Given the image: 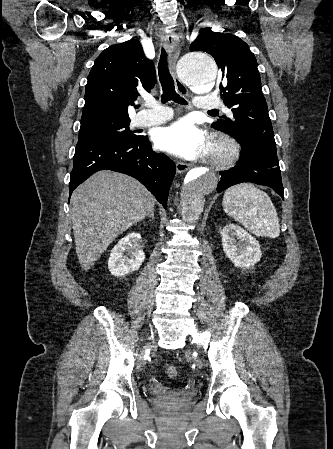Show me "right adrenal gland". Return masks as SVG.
Masks as SVG:
<instances>
[{
	"instance_id": "right-adrenal-gland-1",
	"label": "right adrenal gland",
	"mask_w": 333,
	"mask_h": 449,
	"mask_svg": "<svg viewBox=\"0 0 333 449\" xmlns=\"http://www.w3.org/2000/svg\"><path fill=\"white\" fill-rule=\"evenodd\" d=\"M149 217H151L152 219H155L154 211L151 212V214L149 215Z\"/></svg>"
}]
</instances>
